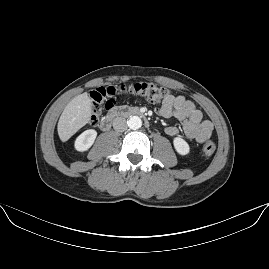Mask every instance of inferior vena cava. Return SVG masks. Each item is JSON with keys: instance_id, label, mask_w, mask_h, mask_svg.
<instances>
[{"instance_id": "obj_1", "label": "inferior vena cava", "mask_w": 269, "mask_h": 269, "mask_svg": "<svg viewBox=\"0 0 269 269\" xmlns=\"http://www.w3.org/2000/svg\"><path fill=\"white\" fill-rule=\"evenodd\" d=\"M113 128L117 132H124L128 128V124L125 118L123 117H116L113 120Z\"/></svg>"}]
</instances>
